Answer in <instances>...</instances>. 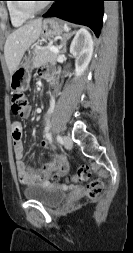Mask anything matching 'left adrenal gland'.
Returning a JSON list of instances; mask_svg holds the SVG:
<instances>
[{
	"mask_svg": "<svg viewBox=\"0 0 133 253\" xmlns=\"http://www.w3.org/2000/svg\"><path fill=\"white\" fill-rule=\"evenodd\" d=\"M76 31H70V32H67L64 36H63V49H62V52L65 53L66 52V49H67V40L70 39V37L72 35L75 34Z\"/></svg>",
	"mask_w": 133,
	"mask_h": 253,
	"instance_id": "1",
	"label": "left adrenal gland"
}]
</instances>
